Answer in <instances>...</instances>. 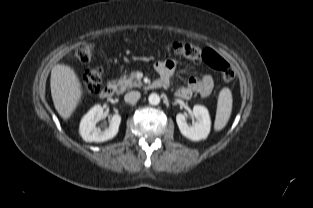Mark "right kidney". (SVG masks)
<instances>
[{
    "instance_id": "1",
    "label": "right kidney",
    "mask_w": 313,
    "mask_h": 208,
    "mask_svg": "<svg viewBox=\"0 0 313 208\" xmlns=\"http://www.w3.org/2000/svg\"><path fill=\"white\" fill-rule=\"evenodd\" d=\"M103 117V108L101 105L92 107L81 119L79 132L86 142H104L114 138L119 130L121 116L115 114L110 120L108 128L101 130L96 127V123Z\"/></svg>"
}]
</instances>
